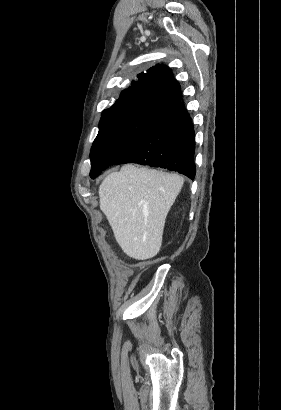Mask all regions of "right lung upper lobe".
I'll list each match as a JSON object with an SVG mask.
<instances>
[{
    "label": "right lung upper lobe",
    "instance_id": "obj_1",
    "mask_svg": "<svg viewBox=\"0 0 281 410\" xmlns=\"http://www.w3.org/2000/svg\"><path fill=\"white\" fill-rule=\"evenodd\" d=\"M139 74L131 86L121 92L113 106L146 104L169 110L182 100L180 85L169 67L157 65ZM111 106V107H113Z\"/></svg>",
    "mask_w": 281,
    "mask_h": 410
}]
</instances>
